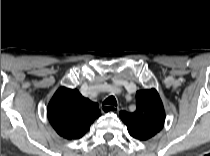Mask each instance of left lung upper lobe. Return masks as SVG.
<instances>
[{
    "label": "left lung upper lobe",
    "instance_id": "5c2ea615",
    "mask_svg": "<svg viewBox=\"0 0 210 156\" xmlns=\"http://www.w3.org/2000/svg\"><path fill=\"white\" fill-rule=\"evenodd\" d=\"M137 109L133 113L120 112V118L127 125L129 134L141 141L156 135L164 125L165 112L155 89L136 93Z\"/></svg>",
    "mask_w": 210,
    "mask_h": 156
}]
</instances>
